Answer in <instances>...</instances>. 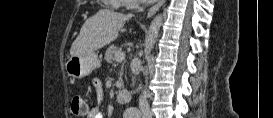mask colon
<instances>
[{"mask_svg": "<svg viewBox=\"0 0 273 118\" xmlns=\"http://www.w3.org/2000/svg\"><path fill=\"white\" fill-rule=\"evenodd\" d=\"M71 112L75 116H84L87 113V105L81 96H74L71 101Z\"/></svg>", "mask_w": 273, "mask_h": 118, "instance_id": "5ec220e1", "label": "colon"}]
</instances>
